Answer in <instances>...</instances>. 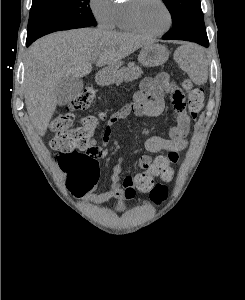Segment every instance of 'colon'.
<instances>
[{
	"label": "colon",
	"instance_id": "5ec220e1",
	"mask_svg": "<svg viewBox=\"0 0 245 300\" xmlns=\"http://www.w3.org/2000/svg\"><path fill=\"white\" fill-rule=\"evenodd\" d=\"M188 93V108L193 119H196L204 107V92L193 87L190 81L184 82ZM95 97L91 87L84 88L68 105L69 111L58 115L51 128L55 133L51 147L57 153V162L67 173V185L76 194L88 192L96 184L99 167L95 152L89 149L90 141L96 130L98 118L86 116L81 125L73 127V114L70 111L86 109ZM153 176L140 173L135 179L136 189L150 193L154 204L160 205L167 197V187L163 190L153 189Z\"/></svg>",
	"mask_w": 245,
	"mask_h": 300
}]
</instances>
